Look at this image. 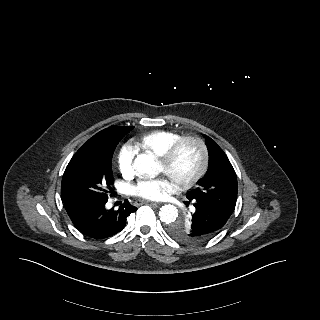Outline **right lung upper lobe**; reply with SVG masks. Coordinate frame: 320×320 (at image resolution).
I'll return each mask as SVG.
<instances>
[{"label":"right lung upper lobe","instance_id":"cb5924a9","mask_svg":"<svg viewBox=\"0 0 320 320\" xmlns=\"http://www.w3.org/2000/svg\"><path fill=\"white\" fill-rule=\"evenodd\" d=\"M133 127L129 126H110L99 133L101 134H127L129 131H131Z\"/></svg>","mask_w":320,"mask_h":320}]
</instances>
